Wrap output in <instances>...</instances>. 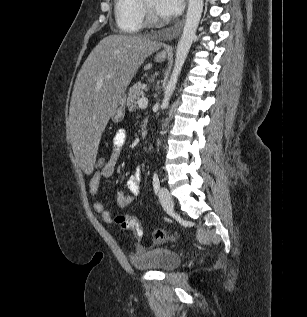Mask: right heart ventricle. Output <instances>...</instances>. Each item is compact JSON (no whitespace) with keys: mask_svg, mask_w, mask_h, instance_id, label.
<instances>
[{"mask_svg":"<svg viewBox=\"0 0 307 317\" xmlns=\"http://www.w3.org/2000/svg\"><path fill=\"white\" fill-rule=\"evenodd\" d=\"M115 20L120 31L137 33L144 27L140 0H115Z\"/></svg>","mask_w":307,"mask_h":317,"instance_id":"e07e8e85","label":"right heart ventricle"}]
</instances>
